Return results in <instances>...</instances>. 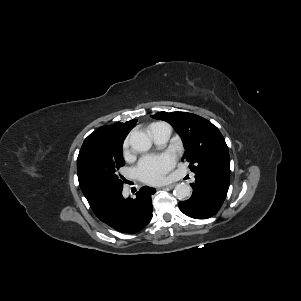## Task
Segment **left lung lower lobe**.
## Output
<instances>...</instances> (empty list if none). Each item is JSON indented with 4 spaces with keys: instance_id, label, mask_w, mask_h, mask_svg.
<instances>
[{
    "instance_id": "left-lung-lower-lobe-1",
    "label": "left lung lower lobe",
    "mask_w": 301,
    "mask_h": 301,
    "mask_svg": "<svg viewBox=\"0 0 301 301\" xmlns=\"http://www.w3.org/2000/svg\"><path fill=\"white\" fill-rule=\"evenodd\" d=\"M190 184L193 193L190 199L179 202L180 210L195 219H207L222 206L229 188V181L209 174H196Z\"/></svg>"
}]
</instances>
